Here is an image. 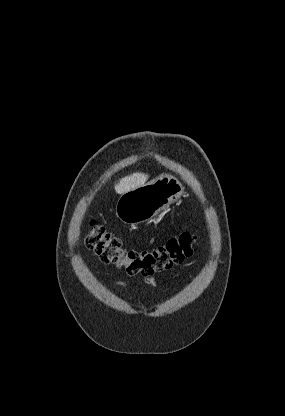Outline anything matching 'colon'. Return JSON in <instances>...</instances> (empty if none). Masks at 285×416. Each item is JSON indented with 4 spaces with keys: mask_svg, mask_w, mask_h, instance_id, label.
<instances>
[{
    "mask_svg": "<svg viewBox=\"0 0 285 416\" xmlns=\"http://www.w3.org/2000/svg\"><path fill=\"white\" fill-rule=\"evenodd\" d=\"M195 243L193 234L182 233L150 250H127L119 238L94 223H91V229L85 237L87 248L96 253L102 262L122 267L129 275L143 276L168 270L181 263L192 255Z\"/></svg>",
    "mask_w": 285,
    "mask_h": 416,
    "instance_id": "5ec220e1",
    "label": "colon"
}]
</instances>
